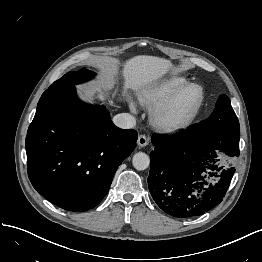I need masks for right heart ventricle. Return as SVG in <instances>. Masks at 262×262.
I'll list each match as a JSON object with an SVG mask.
<instances>
[{
    "mask_svg": "<svg viewBox=\"0 0 262 262\" xmlns=\"http://www.w3.org/2000/svg\"><path fill=\"white\" fill-rule=\"evenodd\" d=\"M187 82L185 76L174 75L169 76L161 81L153 83L141 89L139 92V100L141 103L149 106L157 105L171 94H173L180 86Z\"/></svg>",
    "mask_w": 262,
    "mask_h": 262,
    "instance_id": "e07e8e85",
    "label": "right heart ventricle"
}]
</instances>
